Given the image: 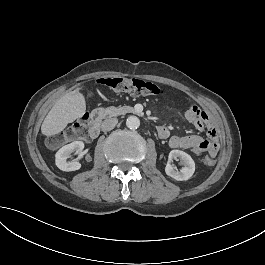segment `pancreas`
<instances>
[{
	"instance_id": "pancreas-1",
	"label": "pancreas",
	"mask_w": 265,
	"mask_h": 265,
	"mask_svg": "<svg viewBox=\"0 0 265 265\" xmlns=\"http://www.w3.org/2000/svg\"><path fill=\"white\" fill-rule=\"evenodd\" d=\"M135 109L131 106H122V107H114L109 106L105 110V115L111 116H120L125 115L127 113H134Z\"/></svg>"
}]
</instances>
